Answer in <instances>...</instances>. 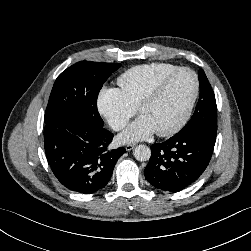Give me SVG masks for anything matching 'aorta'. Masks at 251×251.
<instances>
[{
    "mask_svg": "<svg viewBox=\"0 0 251 251\" xmlns=\"http://www.w3.org/2000/svg\"><path fill=\"white\" fill-rule=\"evenodd\" d=\"M133 155L138 161H147L150 159L151 150L146 145H138L135 147Z\"/></svg>",
    "mask_w": 251,
    "mask_h": 251,
    "instance_id": "762f6f07",
    "label": "aorta"
}]
</instances>
